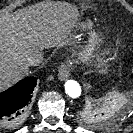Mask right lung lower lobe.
Returning a JSON list of instances; mask_svg holds the SVG:
<instances>
[{
	"instance_id": "obj_1",
	"label": "right lung lower lobe",
	"mask_w": 133,
	"mask_h": 133,
	"mask_svg": "<svg viewBox=\"0 0 133 133\" xmlns=\"http://www.w3.org/2000/svg\"><path fill=\"white\" fill-rule=\"evenodd\" d=\"M37 78L26 77L0 93V127L19 125L28 111Z\"/></svg>"
}]
</instances>
